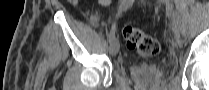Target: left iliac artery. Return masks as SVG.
<instances>
[{"label": "left iliac artery", "mask_w": 209, "mask_h": 90, "mask_svg": "<svg viewBox=\"0 0 209 90\" xmlns=\"http://www.w3.org/2000/svg\"><path fill=\"white\" fill-rule=\"evenodd\" d=\"M173 3H174V4H175V3L177 4V3H178V1H177V0H175Z\"/></svg>", "instance_id": "44dca946"}]
</instances>
